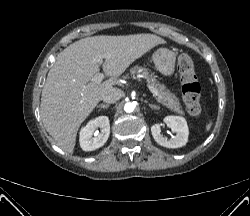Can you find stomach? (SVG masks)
I'll return each instance as SVG.
<instances>
[{"mask_svg":"<svg viewBox=\"0 0 250 216\" xmlns=\"http://www.w3.org/2000/svg\"><path fill=\"white\" fill-rule=\"evenodd\" d=\"M176 55L167 48L158 49L153 55L157 70L164 76H172L175 70Z\"/></svg>","mask_w":250,"mask_h":216,"instance_id":"stomach-1","label":"stomach"}]
</instances>
